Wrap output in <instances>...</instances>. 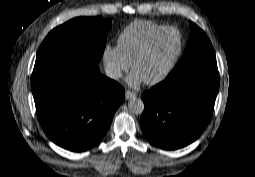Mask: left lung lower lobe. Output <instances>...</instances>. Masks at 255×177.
<instances>
[{"mask_svg":"<svg viewBox=\"0 0 255 177\" xmlns=\"http://www.w3.org/2000/svg\"><path fill=\"white\" fill-rule=\"evenodd\" d=\"M218 89L217 64L197 65L166 78L142 94V131L163 149L192 143L211 119Z\"/></svg>","mask_w":255,"mask_h":177,"instance_id":"left-lung-lower-lobe-1","label":"left lung lower lobe"}]
</instances>
